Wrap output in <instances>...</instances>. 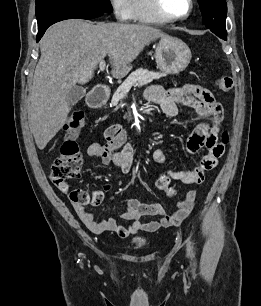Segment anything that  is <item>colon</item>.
I'll return each instance as SVG.
<instances>
[{"label": "colon", "mask_w": 261, "mask_h": 306, "mask_svg": "<svg viewBox=\"0 0 261 306\" xmlns=\"http://www.w3.org/2000/svg\"><path fill=\"white\" fill-rule=\"evenodd\" d=\"M217 87L222 91H229L233 87V78L229 75H222L217 80ZM85 117L82 112H75L66 124L67 137L61 145L60 155L54 160L50 180L64 192H69L68 181L80 176L82 156L79 146L75 140V134L84 127ZM229 141L227 132L223 133L221 142L225 145ZM169 178L167 175H160L156 179V186L165 190L169 195L174 194V190L168 187ZM72 202L80 205H98L102 201L99 191L87 193L82 190H75L69 193Z\"/></svg>", "instance_id": "1"}]
</instances>
